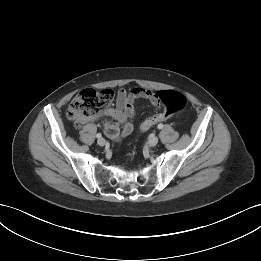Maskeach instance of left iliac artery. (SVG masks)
<instances>
[{
	"mask_svg": "<svg viewBox=\"0 0 261 261\" xmlns=\"http://www.w3.org/2000/svg\"><path fill=\"white\" fill-rule=\"evenodd\" d=\"M157 127H158V129H162L163 128V124H159Z\"/></svg>",
	"mask_w": 261,
	"mask_h": 261,
	"instance_id": "44dca946",
	"label": "left iliac artery"
}]
</instances>
